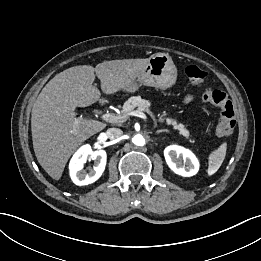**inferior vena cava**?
I'll return each instance as SVG.
<instances>
[{
    "mask_svg": "<svg viewBox=\"0 0 261 261\" xmlns=\"http://www.w3.org/2000/svg\"><path fill=\"white\" fill-rule=\"evenodd\" d=\"M123 134V131L119 128H109L106 131V135L109 139L119 138Z\"/></svg>",
    "mask_w": 261,
    "mask_h": 261,
    "instance_id": "obj_1",
    "label": "inferior vena cava"
}]
</instances>
